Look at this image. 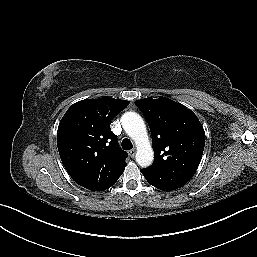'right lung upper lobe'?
<instances>
[{
	"label": "right lung upper lobe",
	"mask_w": 257,
	"mask_h": 257,
	"mask_svg": "<svg viewBox=\"0 0 257 257\" xmlns=\"http://www.w3.org/2000/svg\"><path fill=\"white\" fill-rule=\"evenodd\" d=\"M129 101L99 98L73 104L57 131L60 158L71 178L93 191L108 189L123 173L128 154L110 130V121Z\"/></svg>",
	"instance_id": "cb5924a9"
}]
</instances>
